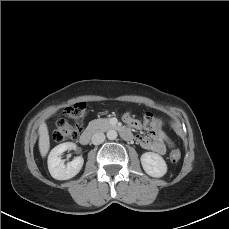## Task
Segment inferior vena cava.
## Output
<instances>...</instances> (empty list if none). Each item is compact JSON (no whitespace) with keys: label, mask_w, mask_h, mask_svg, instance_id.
Instances as JSON below:
<instances>
[{"label":"inferior vena cava","mask_w":229,"mask_h":229,"mask_svg":"<svg viewBox=\"0 0 229 229\" xmlns=\"http://www.w3.org/2000/svg\"><path fill=\"white\" fill-rule=\"evenodd\" d=\"M105 140V135L104 133H95L93 136H92V143L94 145H99L101 143H103Z\"/></svg>","instance_id":"1"}]
</instances>
